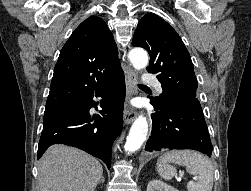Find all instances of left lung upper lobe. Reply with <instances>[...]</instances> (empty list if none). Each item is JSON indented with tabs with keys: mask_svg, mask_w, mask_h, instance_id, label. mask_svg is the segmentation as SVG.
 <instances>
[{
	"mask_svg": "<svg viewBox=\"0 0 251 191\" xmlns=\"http://www.w3.org/2000/svg\"><path fill=\"white\" fill-rule=\"evenodd\" d=\"M133 46L150 55L148 72L157 74L163 93L152 98L167 104L178 99L197 98V79L190 54L176 31L157 15L147 14L138 23Z\"/></svg>",
	"mask_w": 251,
	"mask_h": 191,
	"instance_id": "5c2ea615",
	"label": "left lung upper lobe"
}]
</instances>
